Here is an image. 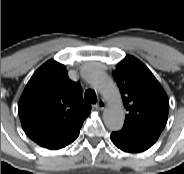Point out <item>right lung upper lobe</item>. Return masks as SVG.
I'll list each match as a JSON object with an SVG mask.
<instances>
[{"label": "right lung upper lobe", "mask_w": 184, "mask_h": 174, "mask_svg": "<svg viewBox=\"0 0 184 174\" xmlns=\"http://www.w3.org/2000/svg\"><path fill=\"white\" fill-rule=\"evenodd\" d=\"M80 84L67 75L64 65L49 60L27 83L18 104L25 133L49 148L83 124L91 106L83 103Z\"/></svg>", "instance_id": "right-lung-upper-lobe-1"}]
</instances>
